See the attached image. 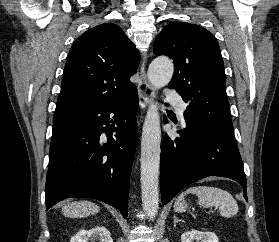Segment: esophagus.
<instances>
[{
	"label": "esophagus",
	"mask_w": 279,
	"mask_h": 242,
	"mask_svg": "<svg viewBox=\"0 0 279 242\" xmlns=\"http://www.w3.org/2000/svg\"><path fill=\"white\" fill-rule=\"evenodd\" d=\"M146 63L147 55L145 54L140 69V79L138 83L139 106L142 110H145L149 106L153 95V88L146 75Z\"/></svg>",
	"instance_id": "34e87169"
}]
</instances>
